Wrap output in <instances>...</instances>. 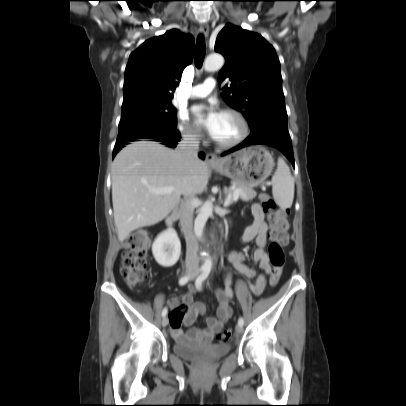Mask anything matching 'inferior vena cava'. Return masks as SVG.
<instances>
[{
  "label": "inferior vena cava",
  "mask_w": 406,
  "mask_h": 406,
  "mask_svg": "<svg viewBox=\"0 0 406 406\" xmlns=\"http://www.w3.org/2000/svg\"><path fill=\"white\" fill-rule=\"evenodd\" d=\"M177 152L190 164L198 161L199 139L197 135L186 133L182 141L177 146ZM197 199L194 194L185 198L180 224L186 240V260L187 268H198V242L193 233V212Z\"/></svg>",
  "instance_id": "inferior-vena-cava-1"
}]
</instances>
